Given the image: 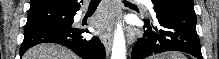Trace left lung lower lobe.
Here are the masks:
<instances>
[{"instance_id":"1","label":"left lung lower lobe","mask_w":219,"mask_h":59,"mask_svg":"<svg viewBox=\"0 0 219 59\" xmlns=\"http://www.w3.org/2000/svg\"><path fill=\"white\" fill-rule=\"evenodd\" d=\"M154 11V24L145 20L144 35L137 40L131 59H145L165 51H181L203 59L193 1Z\"/></svg>"}]
</instances>
